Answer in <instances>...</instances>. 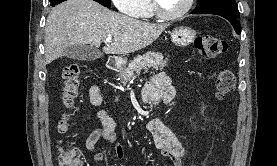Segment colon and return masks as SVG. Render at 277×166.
Here are the masks:
<instances>
[{
  "mask_svg": "<svg viewBox=\"0 0 277 166\" xmlns=\"http://www.w3.org/2000/svg\"><path fill=\"white\" fill-rule=\"evenodd\" d=\"M195 48L201 58H215L227 51V42L212 35H203L195 39ZM64 87L62 102L67 109H71L78 97L80 87V69L76 63L68 64L63 70ZM235 77L231 70L220 68L215 76L216 97L226 98L234 89ZM69 114L65 113L59 122V131L67 133L69 129ZM60 166H82L79 150L70 142L60 148Z\"/></svg>",
  "mask_w": 277,
  "mask_h": 166,
  "instance_id": "1",
  "label": "colon"
}]
</instances>
